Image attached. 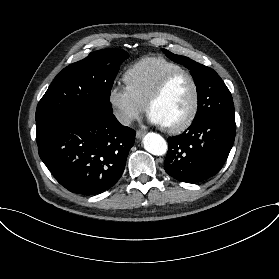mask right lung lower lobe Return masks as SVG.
Masks as SVG:
<instances>
[{
	"instance_id": "obj_1",
	"label": "right lung lower lobe",
	"mask_w": 279,
	"mask_h": 279,
	"mask_svg": "<svg viewBox=\"0 0 279 279\" xmlns=\"http://www.w3.org/2000/svg\"><path fill=\"white\" fill-rule=\"evenodd\" d=\"M36 139L39 156L58 183L90 196L120 179L135 131L112 113L79 106L54 109L37 118Z\"/></svg>"
}]
</instances>
